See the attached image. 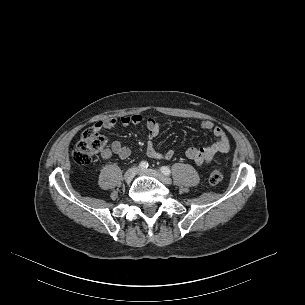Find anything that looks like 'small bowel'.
I'll return each mask as SVG.
<instances>
[{
	"instance_id": "c3829d8e",
	"label": "small bowel",
	"mask_w": 305,
	"mask_h": 305,
	"mask_svg": "<svg viewBox=\"0 0 305 305\" xmlns=\"http://www.w3.org/2000/svg\"><path fill=\"white\" fill-rule=\"evenodd\" d=\"M143 121V117L139 114L124 115L120 119L109 118L104 121H99L95 124L97 129H110L117 124L123 126L138 125ZM147 127V144L146 153L148 157L153 159H166L170 160L174 157L173 150L168 149L164 152L156 148L155 141L160 133V123L155 118H148L146 120ZM203 130L211 132L213 140L201 147H190L186 150L185 156L187 159L193 161L198 167L208 165L215 155L226 153L230 149V142L226 132L210 120H203L200 123ZM113 155H117L121 159H127L131 155V149L123 145L120 141H114L111 147L102 153V158L109 160Z\"/></svg>"
}]
</instances>
